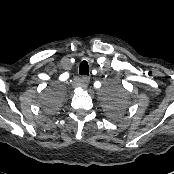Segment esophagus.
<instances>
[{
    "label": "esophagus",
    "instance_id": "obj_1",
    "mask_svg": "<svg viewBox=\"0 0 174 174\" xmlns=\"http://www.w3.org/2000/svg\"><path fill=\"white\" fill-rule=\"evenodd\" d=\"M80 81L82 87H87L90 83V78L88 76H83Z\"/></svg>",
    "mask_w": 174,
    "mask_h": 174
}]
</instances>
